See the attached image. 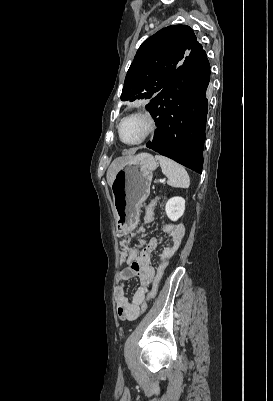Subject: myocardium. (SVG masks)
Masks as SVG:
<instances>
[{"label": "myocardium", "mask_w": 273, "mask_h": 401, "mask_svg": "<svg viewBox=\"0 0 273 401\" xmlns=\"http://www.w3.org/2000/svg\"><path fill=\"white\" fill-rule=\"evenodd\" d=\"M129 117L139 118L146 125L145 133L142 135V137L140 139H138L137 141H134V142L123 141L121 138V134H120L121 124L123 123V121L125 119H127ZM157 129H158V122L152 113L147 112V111H134V112H131V113L125 115L124 117H122L119 120V122L117 123L116 132H117V137L122 144H124L126 146H137V145L144 143L149 138H151L156 133Z\"/></svg>", "instance_id": "1"}]
</instances>
